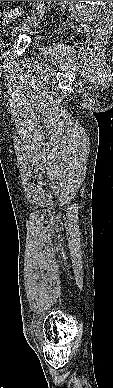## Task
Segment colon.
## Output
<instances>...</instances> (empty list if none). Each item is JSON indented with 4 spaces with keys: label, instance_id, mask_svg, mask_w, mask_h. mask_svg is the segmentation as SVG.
Returning <instances> with one entry per match:
<instances>
[{
    "label": "colon",
    "instance_id": "1",
    "mask_svg": "<svg viewBox=\"0 0 113 388\" xmlns=\"http://www.w3.org/2000/svg\"><path fill=\"white\" fill-rule=\"evenodd\" d=\"M0 15L3 17V21L11 22L14 21L17 17V12L13 9H2Z\"/></svg>",
    "mask_w": 113,
    "mask_h": 388
}]
</instances>
